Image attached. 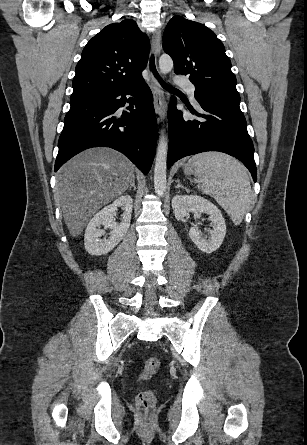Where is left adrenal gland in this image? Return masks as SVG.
Here are the masks:
<instances>
[{
  "label": "left adrenal gland",
  "instance_id": "left-adrenal-gland-1",
  "mask_svg": "<svg viewBox=\"0 0 307 445\" xmlns=\"http://www.w3.org/2000/svg\"><path fill=\"white\" fill-rule=\"evenodd\" d=\"M176 182H178L177 186H175V188H186V186H183V184H180V180H176ZM187 190V188H186Z\"/></svg>",
  "mask_w": 307,
  "mask_h": 445
}]
</instances>
